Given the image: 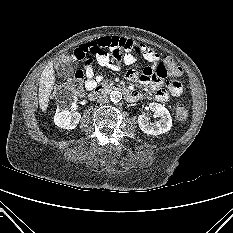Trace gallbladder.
I'll use <instances>...</instances> for the list:
<instances>
[{
	"instance_id": "bac80fb5",
	"label": "gallbladder",
	"mask_w": 233,
	"mask_h": 233,
	"mask_svg": "<svg viewBox=\"0 0 233 233\" xmlns=\"http://www.w3.org/2000/svg\"><path fill=\"white\" fill-rule=\"evenodd\" d=\"M73 72V69L70 65L61 64L58 67V73L61 77L67 78Z\"/></svg>"
}]
</instances>
